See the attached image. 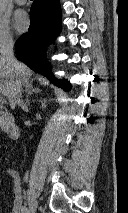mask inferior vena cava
<instances>
[{"instance_id":"602c4592","label":"inferior vena cava","mask_w":128,"mask_h":213,"mask_svg":"<svg viewBox=\"0 0 128 213\" xmlns=\"http://www.w3.org/2000/svg\"><path fill=\"white\" fill-rule=\"evenodd\" d=\"M14 41L11 36L4 38L2 44L0 45V52L2 57L6 60L8 65L13 69L16 76L13 89V97L15 103H17L22 109H24V103L22 100V83L20 80V65L14 57Z\"/></svg>"}]
</instances>
